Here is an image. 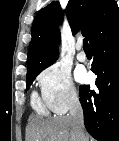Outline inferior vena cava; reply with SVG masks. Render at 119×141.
Masks as SVG:
<instances>
[{
    "mask_svg": "<svg viewBox=\"0 0 119 141\" xmlns=\"http://www.w3.org/2000/svg\"><path fill=\"white\" fill-rule=\"evenodd\" d=\"M69 113L79 141H87L84 132L83 110L75 93L69 97Z\"/></svg>",
    "mask_w": 119,
    "mask_h": 141,
    "instance_id": "602c4592",
    "label": "inferior vena cava"
}]
</instances>
